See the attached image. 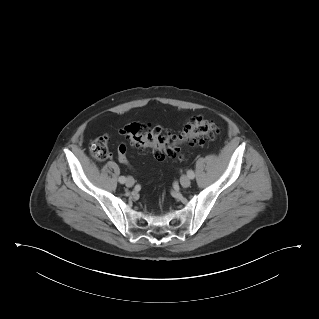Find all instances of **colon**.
I'll return each instance as SVG.
<instances>
[{"mask_svg":"<svg viewBox=\"0 0 319 319\" xmlns=\"http://www.w3.org/2000/svg\"><path fill=\"white\" fill-rule=\"evenodd\" d=\"M220 133V127L212 120L203 116L192 117L179 133H171L161 127L131 122L123 129V134L130 143L140 151L151 149L156 160L182 158V146L185 144H201L214 140ZM91 155L98 160L109 157L107 139L99 137L90 144ZM127 148L120 145L118 149L119 160L127 164Z\"/></svg>","mask_w":319,"mask_h":319,"instance_id":"obj_1","label":"colon"}]
</instances>
